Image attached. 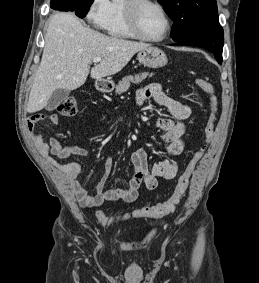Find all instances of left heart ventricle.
<instances>
[{"label":"left heart ventricle","mask_w":259,"mask_h":283,"mask_svg":"<svg viewBox=\"0 0 259 283\" xmlns=\"http://www.w3.org/2000/svg\"><path fill=\"white\" fill-rule=\"evenodd\" d=\"M142 32L151 38H159L166 31L167 23L162 12L155 6H144L139 15Z\"/></svg>","instance_id":"left-heart-ventricle-1"}]
</instances>
